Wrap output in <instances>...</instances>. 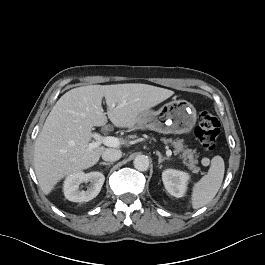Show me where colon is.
<instances>
[{
    "mask_svg": "<svg viewBox=\"0 0 265 265\" xmlns=\"http://www.w3.org/2000/svg\"><path fill=\"white\" fill-rule=\"evenodd\" d=\"M219 131L220 123L214 115L207 111L199 113L195 135L205 151L214 150Z\"/></svg>",
    "mask_w": 265,
    "mask_h": 265,
    "instance_id": "obj_1",
    "label": "colon"
}]
</instances>
